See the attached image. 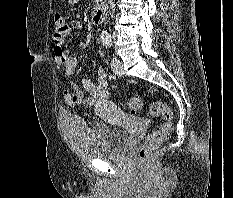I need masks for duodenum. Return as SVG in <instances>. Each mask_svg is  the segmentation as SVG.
<instances>
[{"label":"duodenum","mask_w":233,"mask_h":198,"mask_svg":"<svg viewBox=\"0 0 233 198\" xmlns=\"http://www.w3.org/2000/svg\"><path fill=\"white\" fill-rule=\"evenodd\" d=\"M106 13H107L106 4L103 3L98 5L91 16L92 23L93 24L102 23L105 20Z\"/></svg>","instance_id":"410a0bca"}]
</instances>
